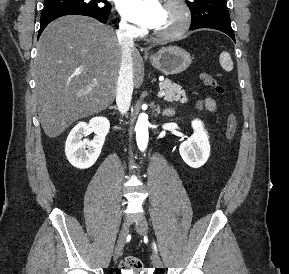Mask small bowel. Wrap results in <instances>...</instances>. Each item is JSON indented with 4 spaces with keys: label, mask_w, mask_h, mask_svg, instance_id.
I'll use <instances>...</instances> for the list:
<instances>
[{
    "label": "small bowel",
    "mask_w": 289,
    "mask_h": 274,
    "mask_svg": "<svg viewBox=\"0 0 289 274\" xmlns=\"http://www.w3.org/2000/svg\"><path fill=\"white\" fill-rule=\"evenodd\" d=\"M197 108L214 113L216 112V102L212 98L207 97L197 103Z\"/></svg>",
    "instance_id": "1"
}]
</instances>
